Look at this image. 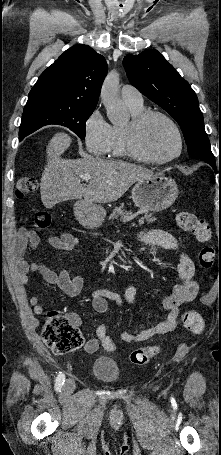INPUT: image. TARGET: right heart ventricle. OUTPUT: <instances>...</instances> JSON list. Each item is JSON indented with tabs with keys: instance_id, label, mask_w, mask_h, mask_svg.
<instances>
[{
	"instance_id": "1",
	"label": "right heart ventricle",
	"mask_w": 221,
	"mask_h": 455,
	"mask_svg": "<svg viewBox=\"0 0 221 455\" xmlns=\"http://www.w3.org/2000/svg\"><path fill=\"white\" fill-rule=\"evenodd\" d=\"M128 108L133 117L141 114L144 111L143 106L134 107L128 105ZM107 154L109 157L113 158L131 157L124 146V127L111 126V139Z\"/></svg>"
}]
</instances>
